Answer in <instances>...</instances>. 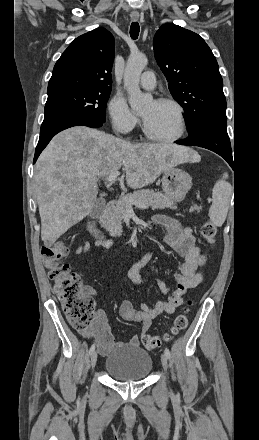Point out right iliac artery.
Wrapping results in <instances>:
<instances>
[{
	"label": "right iliac artery",
	"mask_w": 259,
	"mask_h": 440,
	"mask_svg": "<svg viewBox=\"0 0 259 440\" xmlns=\"http://www.w3.org/2000/svg\"><path fill=\"white\" fill-rule=\"evenodd\" d=\"M94 350H95V345L93 344V345L90 347L89 354L91 355V354L94 352Z\"/></svg>",
	"instance_id": "1"
}]
</instances>
